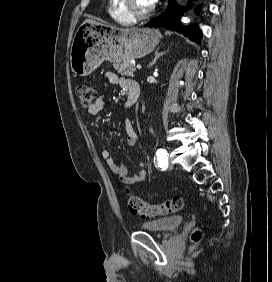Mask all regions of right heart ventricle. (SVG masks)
Listing matches in <instances>:
<instances>
[{
    "label": "right heart ventricle",
    "mask_w": 272,
    "mask_h": 282,
    "mask_svg": "<svg viewBox=\"0 0 272 282\" xmlns=\"http://www.w3.org/2000/svg\"><path fill=\"white\" fill-rule=\"evenodd\" d=\"M121 0H110V14L117 22L130 25L134 19L130 17L121 7Z\"/></svg>",
    "instance_id": "1"
}]
</instances>
